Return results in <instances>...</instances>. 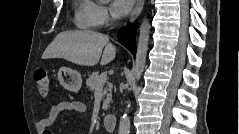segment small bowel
<instances>
[{"mask_svg": "<svg viewBox=\"0 0 239 134\" xmlns=\"http://www.w3.org/2000/svg\"><path fill=\"white\" fill-rule=\"evenodd\" d=\"M86 110H87L86 105L79 101L59 102L53 105L50 108L48 116L38 123V130L40 134H51L49 127L55 123L60 114L66 111L75 113H85Z\"/></svg>", "mask_w": 239, "mask_h": 134, "instance_id": "c3829d8e", "label": "small bowel"}]
</instances>
